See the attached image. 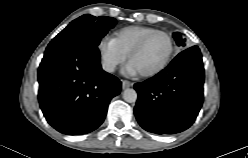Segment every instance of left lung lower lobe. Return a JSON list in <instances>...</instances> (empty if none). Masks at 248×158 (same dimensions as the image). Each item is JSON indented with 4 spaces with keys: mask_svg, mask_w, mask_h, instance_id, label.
<instances>
[{
    "mask_svg": "<svg viewBox=\"0 0 248 158\" xmlns=\"http://www.w3.org/2000/svg\"><path fill=\"white\" fill-rule=\"evenodd\" d=\"M204 68L200 50L179 53L154 77L134 85L138 99L134 114L140 126L156 134L189 128L203 103Z\"/></svg>",
    "mask_w": 248,
    "mask_h": 158,
    "instance_id": "1",
    "label": "left lung lower lobe"
}]
</instances>
